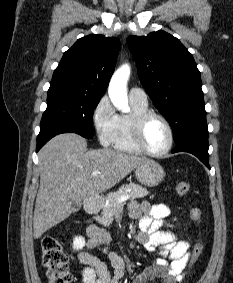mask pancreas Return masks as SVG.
I'll return each mask as SVG.
<instances>
[{"label": "pancreas", "mask_w": 233, "mask_h": 283, "mask_svg": "<svg viewBox=\"0 0 233 283\" xmlns=\"http://www.w3.org/2000/svg\"><path fill=\"white\" fill-rule=\"evenodd\" d=\"M130 189V192L127 190ZM148 191L146 188L140 186L139 184L130 182L129 184L123 185L116 192L110 193L106 197V204L102 210L101 217H97L96 219L103 226H109L114 217H117L121 214V209L123 206L122 202H118L117 198L123 195H130L131 199L143 198L148 195Z\"/></svg>", "instance_id": "pancreas-1"}]
</instances>
